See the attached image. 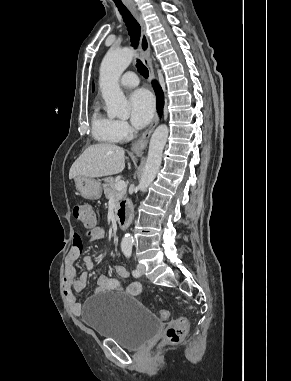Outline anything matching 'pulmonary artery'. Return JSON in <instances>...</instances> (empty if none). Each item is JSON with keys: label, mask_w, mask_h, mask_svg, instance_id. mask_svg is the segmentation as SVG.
<instances>
[{"label": "pulmonary artery", "mask_w": 291, "mask_h": 381, "mask_svg": "<svg viewBox=\"0 0 291 381\" xmlns=\"http://www.w3.org/2000/svg\"><path fill=\"white\" fill-rule=\"evenodd\" d=\"M120 84L123 87L133 88L139 84V79L134 72L128 71L122 75Z\"/></svg>", "instance_id": "obj_1"}]
</instances>
